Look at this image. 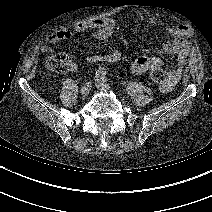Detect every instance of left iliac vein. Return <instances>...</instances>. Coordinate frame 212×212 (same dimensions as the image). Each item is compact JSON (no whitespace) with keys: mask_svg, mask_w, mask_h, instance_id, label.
I'll return each instance as SVG.
<instances>
[{"mask_svg":"<svg viewBox=\"0 0 212 212\" xmlns=\"http://www.w3.org/2000/svg\"><path fill=\"white\" fill-rule=\"evenodd\" d=\"M96 87L102 91H110L111 90V87L106 82L102 81V79L96 80Z\"/></svg>","mask_w":212,"mask_h":212,"instance_id":"obj_1","label":"left iliac vein"}]
</instances>
